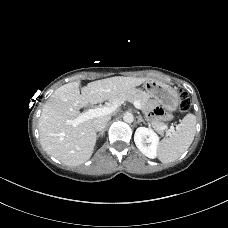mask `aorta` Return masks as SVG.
<instances>
[{
  "mask_svg": "<svg viewBox=\"0 0 228 228\" xmlns=\"http://www.w3.org/2000/svg\"><path fill=\"white\" fill-rule=\"evenodd\" d=\"M123 120L126 122V123H132L133 120H134V117H133V114L130 113V112H126L123 116Z\"/></svg>",
  "mask_w": 228,
  "mask_h": 228,
  "instance_id": "1",
  "label": "aorta"
}]
</instances>
